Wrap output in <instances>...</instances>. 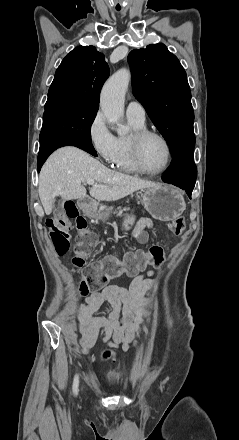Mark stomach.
Masks as SVG:
<instances>
[{
	"label": "stomach",
	"mask_w": 239,
	"mask_h": 440,
	"mask_svg": "<svg viewBox=\"0 0 239 440\" xmlns=\"http://www.w3.org/2000/svg\"><path fill=\"white\" fill-rule=\"evenodd\" d=\"M143 204L148 214L161 220V222H171L175 218H179L183 214L186 204L185 200L177 188H169V186H159V188H147L143 196ZM78 206L81 208L83 214L88 218H96V220H106L112 208H106L105 212L99 214L98 202L90 200H78ZM134 224L133 216H128L123 222L124 230H130Z\"/></svg>",
	"instance_id": "0dacf381"
}]
</instances>
